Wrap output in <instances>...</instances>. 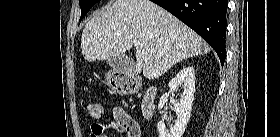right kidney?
<instances>
[{
    "label": "right kidney",
    "mask_w": 280,
    "mask_h": 137,
    "mask_svg": "<svg viewBox=\"0 0 280 137\" xmlns=\"http://www.w3.org/2000/svg\"><path fill=\"white\" fill-rule=\"evenodd\" d=\"M179 86H182L184 91L181 95V99L176 101L173 105V109L177 114V120L173 127L168 132L163 121L158 122L157 129L159 137H182L186 125L189 121L192 103L194 100L195 92V75L193 67H185L181 69L178 74L169 82V92L162 95L159 101L158 108L161 109L168 101V97Z\"/></svg>",
    "instance_id": "1"
}]
</instances>
